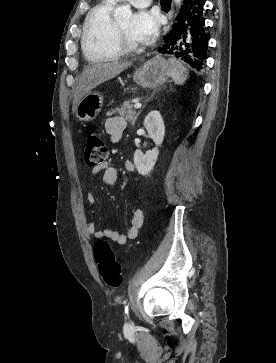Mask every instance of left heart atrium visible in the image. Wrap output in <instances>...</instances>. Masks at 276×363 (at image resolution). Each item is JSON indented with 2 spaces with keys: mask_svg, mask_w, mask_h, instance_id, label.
Masks as SVG:
<instances>
[{
  "mask_svg": "<svg viewBox=\"0 0 276 363\" xmlns=\"http://www.w3.org/2000/svg\"><path fill=\"white\" fill-rule=\"evenodd\" d=\"M159 29V18L151 11H138L132 19V30L142 42L154 39Z\"/></svg>",
  "mask_w": 276,
  "mask_h": 363,
  "instance_id": "39dd6f15",
  "label": "left heart atrium"
}]
</instances>
